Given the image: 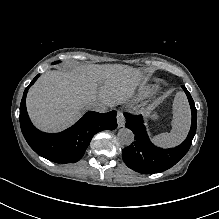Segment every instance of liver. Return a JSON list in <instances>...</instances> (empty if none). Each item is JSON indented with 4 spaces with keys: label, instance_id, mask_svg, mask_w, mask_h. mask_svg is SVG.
<instances>
[{
    "label": "liver",
    "instance_id": "liver-1",
    "mask_svg": "<svg viewBox=\"0 0 219 219\" xmlns=\"http://www.w3.org/2000/svg\"><path fill=\"white\" fill-rule=\"evenodd\" d=\"M146 84L144 72L124 64L49 70L29 88L26 110L39 131L60 133L75 125L93 102H108L111 107L125 104ZM136 105L145 106L141 100Z\"/></svg>",
    "mask_w": 219,
    "mask_h": 219
}]
</instances>
